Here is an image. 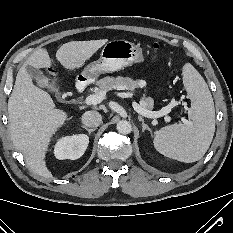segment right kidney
Wrapping results in <instances>:
<instances>
[{"label":"right kidney","instance_id":"ca27d5eb","mask_svg":"<svg viewBox=\"0 0 233 233\" xmlns=\"http://www.w3.org/2000/svg\"><path fill=\"white\" fill-rule=\"evenodd\" d=\"M88 144L89 137L85 134L63 137L55 145V157L60 160H76L84 154Z\"/></svg>","mask_w":233,"mask_h":233}]
</instances>
